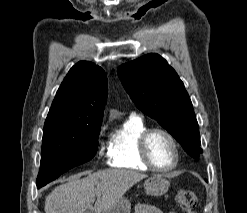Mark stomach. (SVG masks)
I'll use <instances>...</instances> for the list:
<instances>
[{
    "instance_id": "stomach-1",
    "label": "stomach",
    "mask_w": 247,
    "mask_h": 213,
    "mask_svg": "<svg viewBox=\"0 0 247 213\" xmlns=\"http://www.w3.org/2000/svg\"><path fill=\"white\" fill-rule=\"evenodd\" d=\"M170 186V182L161 175H153L144 182V188L148 195L162 196L165 194ZM131 203L126 198H121L110 208L104 210L102 213H130Z\"/></svg>"
}]
</instances>
